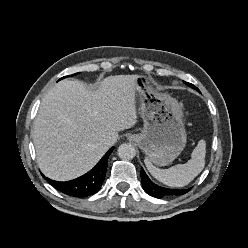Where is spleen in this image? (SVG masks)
Listing matches in <instances>:
<instances>
[{
  "mask_svg": "<svg viewBox=\"0 0 248 248\" xmlns=\"http://www.w3.org/2000/svg\"><path fill=\"white\" fill-rule=\"evenodd\" d=\"M206 142L200 140L191 154V159L185 164H177L168 169L156 168L148 159L145 165L151 175L170 187H183L188 185L204 168Z\"/></svg>",
  "mask_w": 248,
  "mask_h": 248,
  "instance_id": "obj_1",
  "label": "spleen"
}]
</instances>
